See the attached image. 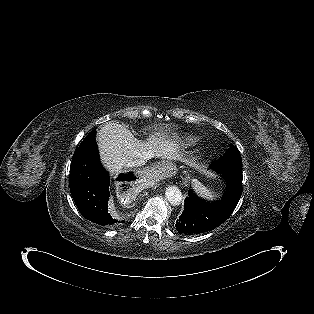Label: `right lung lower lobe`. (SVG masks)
Segmentation results:
<instances>
[{"mask_svg":"<svg viewBox=\"0 0 314 314\" xmlns=\"http://www.w3.org/2000/svg\"><path fill=\"white\" fill-rule=\"evenodd\" d=\"M133 175L121 174L118 181L133 180ZM69 186L72 197L84 218L105 227H115L120 219L108 212L110 177L100 163L96 140L79 147L72 158Z\"/></svg>","mask_w":314,"mask_h":314,"instance_id":"98d812e1","label":"right lung lower lobe"}]
</instances>
